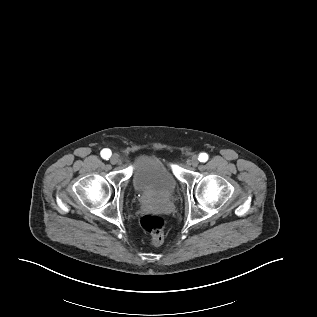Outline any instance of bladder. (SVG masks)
Masks as SVG:
<instances>
[{
	"label": "bladder",
	"mask_w": 317,
	"mask_h": 317,
	"mask_svg": "<svg viewBox=\"0 0 317 317\" xmlns=\"http://www.w3.org/2000/svg\"><path fill=\"white\" fill-rule=\"evenodd\" d=\"M132 184L147 202L170 198L176 191L177 179L169 166L155 156H142L134 164Z\"/></svg>",
	"instance_id": "1"
}]
</instances>
